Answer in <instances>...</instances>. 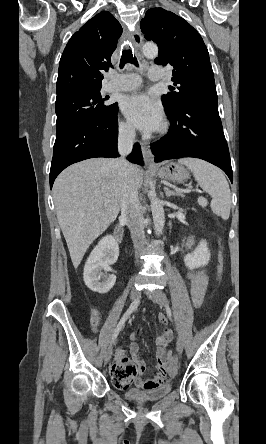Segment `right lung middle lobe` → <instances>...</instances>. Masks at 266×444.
Returning a JSON list of instances; mask_svg holds the SVG:
<instances>
[{"label": "right lung middle lobe", "instance_id": "dd1d6c3e", "mask_svg": "<svg viewBox=\"0 0 266 444\" xmlns=\"http://www.w3.org/2000/svg\"><path fill=\"white\" fill-rule=\"evenodd\" d=\"M105 100L101 97L100 89L70 92L56 98V137L74 127L110 117L117 103L106 104Z\"/></svg>", "mask_w": 266, "mask_h": 444}]
</instances>
